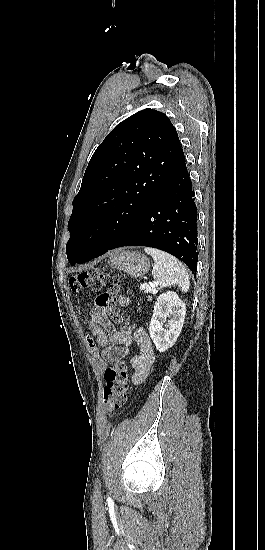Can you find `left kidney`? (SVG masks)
I'll return each instance as SVG.
<instances>
[{
  "label": "left kidney",
  "mask_w": 265,
  "mask_h": 550,
  "mask_svg": "<svg viewBox=\"0 0 265 550\" xmlns=\"http://www.w3.org/2000/svg\"><path fill=\"white\" fill-rule=\"evenodd\" d=\"M185 314L186 304L175 292L168 291L158 297L154 305L149 333L159 352H165L175 344L181 333Z\"/></svg>",
  "instance_id": "1"
}]
</instances>
